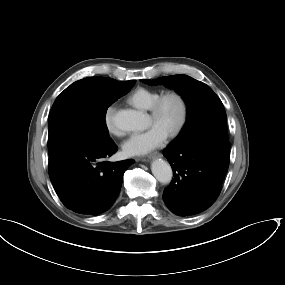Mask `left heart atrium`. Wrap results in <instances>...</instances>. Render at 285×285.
<instances>
[{
    "mask_svg": "<svg viewBox=\"0 0 285 285\" xmlns=\"http://www.w3.org/2000/svg\"><path fill=\"white\" fill-rule=\"evenodd\" d=\"M167 133L158 125L153 124L144 132L133 133L123 144L128 156L145 155L163 144Z\"/></svg>",
    "mask_w": 285,
    "mask_h": 285,
    "instance_id": "obj_1",
    "label": "left heart atrium"
}]
</instances>
